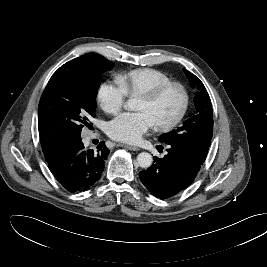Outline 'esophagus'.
<instances>
[{"instance_id":"esophagus-1","label":"esophagus","mask_w":267,"mask_h":267,"mask_svg":"<svg viewBox=\"0 0 267 267\" xmlns=\"http://www.w3.org/2000/svg\"><path fill=\"white\" fill-rule=\"evenodd\" d=\"M123 146L129 150H132V151H138L139 150V148L135 147V146H129V145H123Z\"/></svg>"}]
</instances>
